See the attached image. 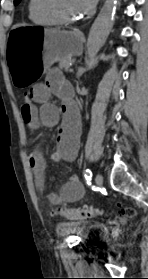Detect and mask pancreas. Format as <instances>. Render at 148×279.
Returning a JSON list of instances; mask_svg holds the SVG:
<instances>
[{
	"mask_svg": "<svg viewBox=\"0 0 148 279\" xmlns=\"http://www.w3.org/2000/svg\"><path fill=\"white\" fill-rule=\"evenodd\" d=\"M74 60L71 59V57H66L60 60L59 62V67L61 69H64L65 71H67L70 67V64L73 63Z\"/></svg>",
	"mask_w": 148,
	"mask_h": 279,
	"instance_id": "obj_1",
	"label": "pancreas"
}]
</instances>
